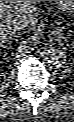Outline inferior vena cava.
I'll list each match as a JSON object with an SVG mask.
<instances>
[{
    "mask_svg": "<svg viewBox=\"0 0 74 122\" xmlns=\"http://www.w3.org/2000/svg\"><path fill=\"white\" fill-rule=\"evenodd\" d=\"M10 25L14 30H17V31L24 30L25 28L28 27L27 21L23 18H14L11 21Z\"/></svg>",
    "mask_w": 74,
    "mask_h": 122,
    "instance_id": "1",
    "label": "inferior vena cava"
}]
</instances>
